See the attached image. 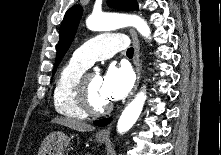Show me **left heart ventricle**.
Here are the masks:
<instances>
[{"label": "left heart ventricle", "instance_id": "1", "mask_svg": "<svg viewBox=\"0 0 221 155\" xmlns=\"http://www.w3.org/2000/svg\"><path fill=\"white\" fill-rule=\"evenodd\" d=\"M89 93L93 105L97 108H102L110 103L103 93L102 77L98 73L93 72L89 78Z\"/></svg>", "mask_w": 221, "mask_h": 155}]
</instances>
